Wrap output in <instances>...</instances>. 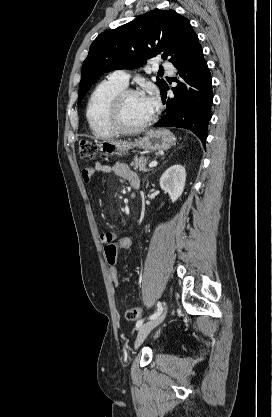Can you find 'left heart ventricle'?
<instances>
[{"instance_id":"b2bd125f","label":"left heart ventricle","mask_w":272,"mask_h":417,"mask_svg":"<svg viewBox=\"0 0 272 417\" xmlns=\"http://www.w3.org/2000/svg\"><path fill=\"white\" fill-rule=\"evenodd\" d=\"M153 113L146 106L141 95L128 97L122 107L121 121L128 127H135L146 122Z\"/></svg>"}]
</instances>
